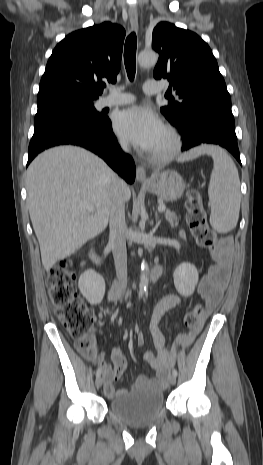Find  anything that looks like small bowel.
Listing matches in <instances>:
<instances>
[{
  "mask_svg": "<svg viewBox=\"0 0 263 465\" xmlns=\"http://www.w3.org/2000/svg\"><path fill=\"white\" fill-rule=\"evenodd\" d=\"M215 261V265L210 267L209 271L201 277L197 286L198 294L206 300L207 314L219 304L228 285L231 274L229 248L226 247L218 252L215 255ZM181 303L182 298L180 296L170 294L162 298L155 306L149 328L157 353L147 351L144 354V360L157 372V377L150 378L146 375H140L133 384V387L164 388L167 383L169 370L175 363L177 348L190 345L199 330L200 334H205L204 327H206V322H201L198 329L180 335L171 350L165 347V338L159 328V323L169 310L178 307ZM137 342L139 345L145 343L142 334L138 335ZM111 357L113 366L104 362H101L100 365L104 376V392L109 398L118 396L126 391V389H116L114 386V381L120 379L126 370V358L119 348L113 349Z\"/></svg>",
  "mask_w": 263,
  "mask_h": 465,
  "instance_id": "c3829d8e",
  "label": "small bowel"
}]
</instances>
